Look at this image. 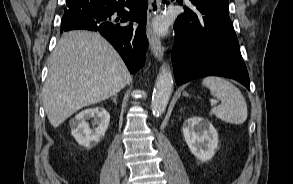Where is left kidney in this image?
Listing matches in <instances>:
<instances>
[{
    "mask_svg": "<svg viewBox=\"0 0 293 184\" xmlns=\"http://www.w3.org/2000/svg\"><path fill=\"white\" fill-rule=\"evenodd\" d=\"M183 135L198 160L206 162L215 155L218 133L208 120L199 116L190 117L183 123Z\"/></svg>",
    "mask_w": 293,
    "mask_h": 184,
    "instance_id": "obj_1",
    "label": "left kidney"
}]
</instances>
